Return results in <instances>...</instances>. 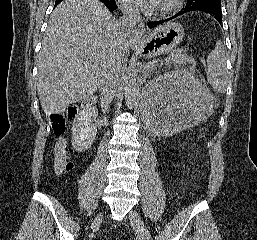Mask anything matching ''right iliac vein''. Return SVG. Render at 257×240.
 Here are the masks:
<instances>
[{"instance_id": "63e3f726", "label": "right iliac vein", "mask_w": 257, "mask_h": 240, "mask_svg": "<svg viewBox=\"0 0 257 240\" xmlns=\"http://www.w3.org/2000/svg\"><path fill=\"white\" fill-rule=\"evenodd\" d=\"M102 218H103V213L98 214L95 217V219L93 220L92 227H96V226L100 225Z\"/></svg>"}]
</instances>
